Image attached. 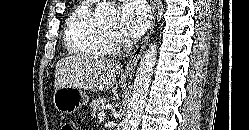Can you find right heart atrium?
<instances>
[{
    "label": "right heart atrium",
    "mask_w": 249,
    "mask_h": 130,
    "mask_svg": "<svg viewBox=\"0 0 249 130\" xmlns=\"http://www.w3.org/2000/svg\"><path fill=\"white\" fill-rule=\"evenodd\" d=\"M108 40L110 44V50L118 51L124 44V40L120 34L116 31H109L108 32Z\"/></svg>",
    "instance_id": "1"
}]
</instances>
